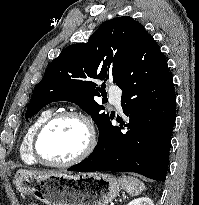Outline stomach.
<instances>
[{
    "mask_svg": "<svg viewBox=\"0 0 199 205\" xmlns=\"http://www.w3.org/2000/svg\"><path fill=\"white\" fill-rule=\"evenodd\" d=\"M14 184L19 192L46 205H107L121 189L118 179L101 172L31 175L18 171Z\"/></svg>",
    "mask_w": 199,
    "mask_h": 205,
    "instance_id": "stomach-1",
    "label": "stomach"
}]
</instances>
